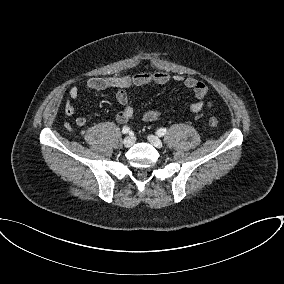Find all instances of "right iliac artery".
<instances>
[{
    "instance_id": "obj_1",
    "label": "right iliac artery",
    "mask_w": 284,
    "mask_h": 284,
    "mask_svg": "<svg viewBox=\"0 0 284 284\" xmlns=\"http://www.w3.org/2000/svg\"><path fill=\"white\" fill-rule=\"evenodd\" d=\"M129 132H130V128L128 126H124L123 129H122V133L127 134Z\"/></svg>"
}]
</instances>
